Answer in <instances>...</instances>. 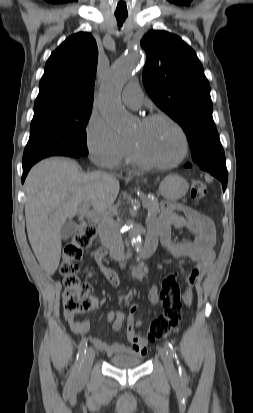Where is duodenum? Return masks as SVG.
I'll return each mask as SVG.
<instances>
[{
	"instance_id": "410a0bca",
	"label": "duodenum",
	"mask_w": 253,
	"mask_h": 413,
	"mask_svg": "<svg viewBox=\"0 0 253 413\" xmlns=\"http://www.w3.org/2000/svg\"><path fill=\"white\" fill-rule=\"evenodd\" d=\"M157 246H158V236L155 233L149 231L146 241L139 251L140 256L148 257L152 255L156 251ZM99 251L101 252L103 256H106L107 249L105 247H100ZM132 254H134V251L129 250L126 252L125 255L130 256Z\"/></svg>"
}]
</instances>
